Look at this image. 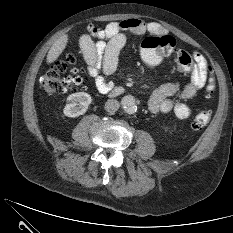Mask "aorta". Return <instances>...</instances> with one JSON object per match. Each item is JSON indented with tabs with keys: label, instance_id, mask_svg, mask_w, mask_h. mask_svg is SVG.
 Segmentation results:
<instances>
[{
	"label": "aorta",
	"instance_id": "762f6f07",
	"mask_svg": "<svg viewBox=\"0 0 233 233\" xmlns=\"http://www.w3.org/2000/svg\"><path fill=\"white\" fill-rule=\"evenodd\" d=\"M121 105L128 114H134L137 110L136 100L132 95H126L121 99Z\"/></svg>",
	"mask_w": 233,
	"mask_h": 233
}]
</instances>
